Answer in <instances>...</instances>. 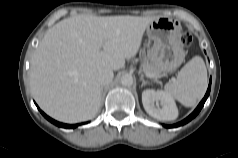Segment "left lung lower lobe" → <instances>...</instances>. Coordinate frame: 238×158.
<instances>
[{"label": "left lung lower lobe", "instance_id": "1", "mask_svg": "<svg viewBox=\"0 0 238 158\" xmlns=\"http://www.w3.org/2000/svg\"><path fill=\"white\" fill-rule=\"evenodd\" d=\"M210 89H211V79H210V83H209V87L207 89V92H206V95L205 97L203 98V100L200 102V104L198 105V107L194 110V112L189 115L186 119H184L183 121L177 123V124H174V125H164L166 128H173V127H178V126H181V125H184L186 124L187 122H189L190 120H192L199 112L200 110L202 109L206 99L208 98L209 94H210Z\"/></svg>", "mask_w": 238, "mask_h": 158}]
</instances>
